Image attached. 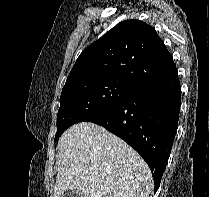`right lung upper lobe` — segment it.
Masks as SVG:
<instances>
[{
  "label": "right lung upper lobe",
  "instance_id": "cb5924a9",
  "mask_svg": "<svg viewBox=\"0 0 209 197\" xmlns=\"http://www.w3.org/2000/svg\"><path fill=\"white\" fill-rule=\"evenodd\" d=\"M174 67L171 54L153 27L126 20L82 51L64 86L116 80L137 88Z\"/></svg>",
  "mask_w": 209,
  "mask_h": 197
}]
</instances>
